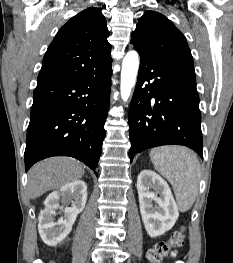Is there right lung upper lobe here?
Masks as SVG:
<instances>
[{"label":"right lung upper lobe","instance_id":"right-lung-upper-lobe-1","mask_svg":"<svg viewBox=\"0 0 233 263\" xmlns=\"http://www.w3.org/2000/svg\"><path fill=\"white\" fill-rule=\"evenodd\" d=\"M109 31L100 8L72 17L49 45L37 87L85 78L111 61Z\"/></svg>","mask_w":233,"mask_h":263}]
</instances>
